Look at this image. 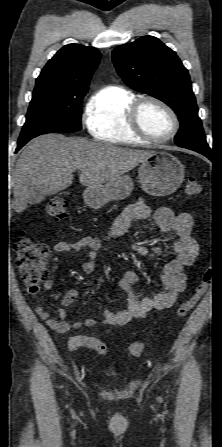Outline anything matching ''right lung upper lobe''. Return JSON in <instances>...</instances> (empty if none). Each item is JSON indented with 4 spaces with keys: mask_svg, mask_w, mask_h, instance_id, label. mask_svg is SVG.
<instances>
[{
    "mask_svg": "<svg viewBox=\"0 0 222 447\" xmlns=\"http://www.w3.org/2000/svg\"><path fill=\"white\" fill-rule=\"evenodd\" d=\"M100 56L96 48L68 44L48 61L36 79L35 88L47 87L75 96L86 94Z\"/></svg>",
    "mask_w": 222,
    "mask_h": 447,
    "instance_id": "obj_1",
    "label": "right lung upper lobe"
}]
</instances>
